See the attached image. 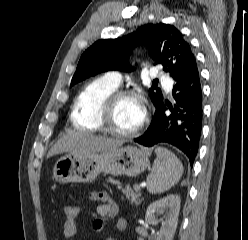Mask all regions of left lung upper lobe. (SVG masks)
Segmentation results:
<instances>
[{"instance_id": "1", "label": "left lung upper lobe", "mask_w": 248, "mask_h": 240, "mask_svg": "<svg viewBox=\"0 0 248 240\" xmlns=\"http://www.w3.org/2000/svg\"><path fill=\"white\" fill-rule=\"evenodd\" d=\"M147 44L150 56L156 64L178 81L195 64L196 58L181 32L169 24H147L135 32L117 39L99 40L92 44L81 56L71 86L89 76L108 70L133 71L127 63L132 49ZM150 98L158 109L163 96L160 89L151 88Z\"/></svg>"}]
</instances>
